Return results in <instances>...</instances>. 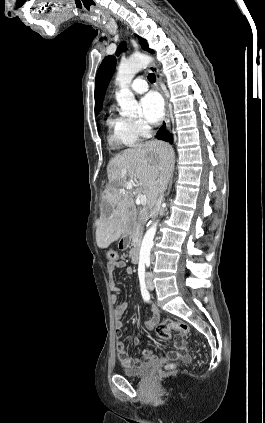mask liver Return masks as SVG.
I'll list each match as a JSON object with an SVG mask.
<instances>
[{
    "mask_svg": "<svg viewBox=\"0 0 265 423\" xmlns=\"http://www.w3.org/2000/svg\"><path fill=\"white\" fill-rule=\"evenodd\" d=\"M173 163V149L167 143L157 140L125 149L109 161V187L103 195V202L111 208L112 213L97 222L96 242L99 248H107L125 233V211L133 207L134 193L145 195L149 208L156 205L165 191ZM129 181L138 185L135 190L117 188L125 187Z\"/></svg>",
    "mask_w": 265,
    "mask_h": 423,
    "instance_id": "6515ba94",
    "label": "liver"
}]
</instances>
